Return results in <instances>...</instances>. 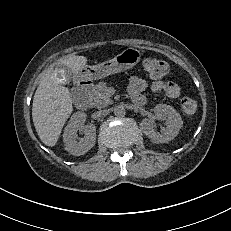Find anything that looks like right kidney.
Instances as JSON below:
<instances>
[{
    "label": "right kidney",
    "instance_id": "obj_1",
    "mask_svg": "<svg viewBox=\"0 0 231 231\" xmlns=\"http://www.w3.org/2000/svg\"><path fill=\"white\" fill-rule=\"evenodd\" d=\"M86 114L74 113L63 134L65 150L75 156L87 153L96 142V127L93 124L85 125ZM77 131L84 133V137L77 142Z\"/></svg>",
    "mask_w": 231,
    "mask_h": 231
}]
</instances>
